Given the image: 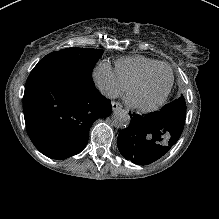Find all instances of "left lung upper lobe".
Segmentation results:
<instances>
[{"mask_svg":"<svg viewBox=\"0 0 219 219\" xmlns=\"http://www.w3.org/2000/svg\"><path fill=\"white\" fill-rule=\"evenodd\" d=\"M159 112L171 114L185 120L186 103L184 97L181 96L180 98L176 99L172 103L165 105L164 107H162V109Z\"/></svg>","mask_w":219,"mask_h":219,"instance_id":"1","label":"left lung upper lobe"}]
</instances>
